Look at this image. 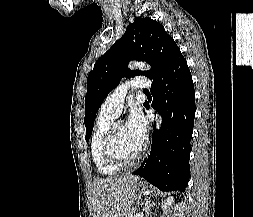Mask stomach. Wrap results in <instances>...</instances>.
Here are the masks:
<instances>
[{
  "instance_id": "0dacf381",
  "label": "stomach",
  "mask_w": 253,
  "mask_h": 217,
  "mask_svg": "<svg viewBox=\"0 0 253 217\" xmlns=\"http://www.w3.org/2000/svg\"><path fill=\"white\" fill-rule=\"evenodd\" d=\"M135 193L138 196H148L151 193V190L143 182H139L135 186Z\"/></svg>"
}]
</instances>
